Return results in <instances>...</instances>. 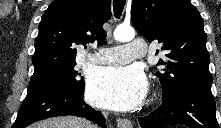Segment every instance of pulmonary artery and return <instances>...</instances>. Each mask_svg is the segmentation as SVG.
Returning <instances> with one entry per match:
<instances>
[{
    "label": "pulmonary artery",
    "instance_id": "obj_1",
    "mask_svg": "<svg viewBox=\"0 0 221 128\" xmlns=\"http://www.w3.org/2000/svg\"><path fill=\"white\" fill-rule=\"evenodd\" d=\"M147 51L144 40L127 41L123 45L101 48L97 53L88 56V61L94 64H123L143 56Z\"/></svg>",
    "mask_w": 221,
    "mask_h": 128
}]
</instances>
